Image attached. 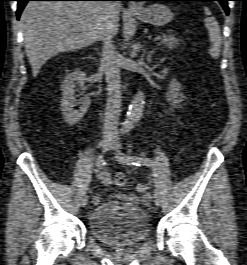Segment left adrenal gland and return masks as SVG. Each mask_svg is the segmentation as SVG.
Wrapping results in <instances>:
<instances>
[{"label": "left adrenal gland", "instance_id": "a2214340", "mask_svg": "<svg viewBox=\"0 0 247 265\" xmlns=\"http://www.w3.org/2000/svg\"><path fill=\"white\" fill-rule=\"evenodd\" d=\"M153 53H154V50L148 52V55H147L148 63H151V58H152Z\"/></svg>", "mask_w": 247, "mask_h": 265}]
</instances>
